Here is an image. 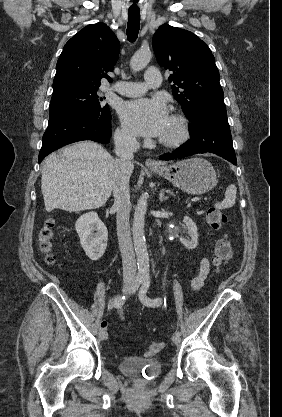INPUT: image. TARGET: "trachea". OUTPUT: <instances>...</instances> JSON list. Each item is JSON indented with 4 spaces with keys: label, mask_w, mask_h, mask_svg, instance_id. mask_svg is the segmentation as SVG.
Masks as SVG:
<instances>
[{
    "label": "trachea",
    "mask_w": 282,
    "mask_h": 417,
    "mask_svg": "<svg viewBox=\"0 0 282 417\" xmlns=\"http://www.w3.org/2000/svg\"><path fill=\"white\" fill-rule=\"evenodd\" d=\"M140 27V10L128 11V25H127V37L130 42H135L139 33Z\"/></svg>",
    "instance_id": "trachea-1"
}]
</instances>
